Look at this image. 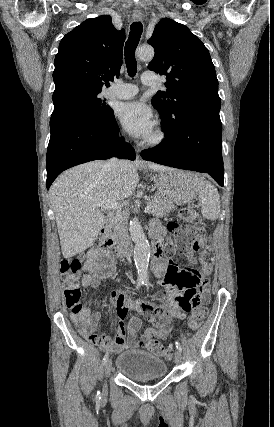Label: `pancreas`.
<instances>
[{
  "label": "pancreas",
  "mask_w": 274,
  "mask_h": 427,
  "mask_svg": "<svg viewBox=\"0 0 274 427\" xmlns=\"http://www.w3.org/2000/svg\"><path fill=\"white\" fill-rule=\"evenodd\" d=\"M147 206H150V214L155 215V217H164L168 215L175 206L173 202L167 200V198H161V196H154L151 202H146ZM129 217L128 210L125 212H116V214L111 217L113 223H111L107 233H110L111 237H114L116 241H121L123 237H127V221Z\"/></svg>",
  "instance_id": "cf45deb5"
}]
</instances>
